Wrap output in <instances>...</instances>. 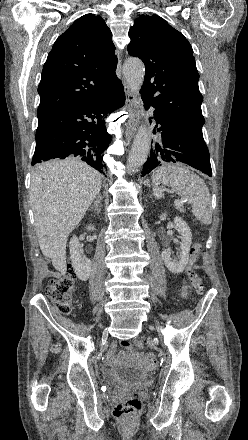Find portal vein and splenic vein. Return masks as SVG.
I'll use <instances>...</instances> for the list:
<instances>
[{"mask_svg": "<svg viewBox=\"0 0 248 440\" xmlns=\"http://www.w3.org/2000/svg\"><path fill=\"white\" fill-rule=\"evenodd\" d=\"M187 202L186 199L176 200L174 203L175 205H183V203Z\"/></svg>", "mask_w": 248, "mask_h": 440, "instance_id": "obj_1", "label": "portal vein and splenic vein"}]
</instances>
